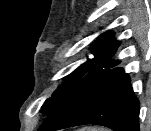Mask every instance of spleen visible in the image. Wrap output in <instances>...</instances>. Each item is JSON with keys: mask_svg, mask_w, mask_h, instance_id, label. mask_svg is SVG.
Instances as JSON below:
<instances>
[{"mask_svg": "<svg viewBox=\"0 0 151 131\" xmlns=\"http://www.w3.org/2000/svg\"><path fill=\"white\" fill-rule=\"evenodd\" d=\"M80 131H105V130L100 128H83Z\"/></svg>", "mask_w": 151, "mask_h": 131, "instance_id": "1", "label": "spleen"}]
</instances>
